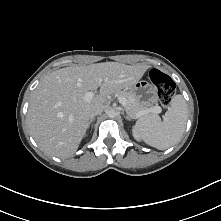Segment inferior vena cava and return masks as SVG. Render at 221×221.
<instances>
[{"mask_svg":"<svg viewBox=\"0 0 221 221\" xmlns=\"http://www.w3.org/2000/svg\"><path fill=\"white\" fill-rule=\"evenodd\" d=\"M103 111V108H95L91 113H90V118H93L94 116H97L101 114Z\"/></svg>","mask_w":221,"mask_h":221,"instance_id":"inferior-vena-cava-1","label":"inferior vena cava"}]
</instances>
